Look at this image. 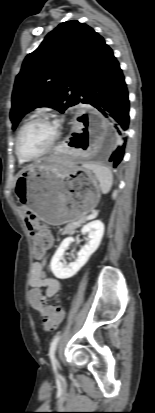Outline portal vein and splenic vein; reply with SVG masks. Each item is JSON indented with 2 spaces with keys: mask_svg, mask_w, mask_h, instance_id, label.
I'll use <instances>...</instances> for the list:
<instances>
[{
  "mask_svg": "<svg viewBox=\"0 0 155 413\" xmlns=\"http://www.w3.org/2000/svg\"><path fill=\"white\" fill-rule=\"evenodd\" d=\"M93 218V216L89 217V219Z\"/></svg>",
  "mask_w": 155,
  "mask_h": 413,
  "instance_id": "1",
  "label": "portal vein and splenic vein"
}]
</instances>
